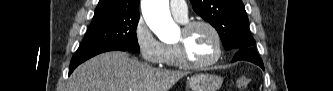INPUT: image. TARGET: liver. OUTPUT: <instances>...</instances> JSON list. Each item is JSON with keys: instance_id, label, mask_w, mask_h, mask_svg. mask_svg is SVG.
<instances>
[{"instance_id": "liver-1", "label": "liver", "mask_w": 333, "mask_h": 91, "mask_svg": "<svg viewBox=\"0 0 333 91\" xmlns=\"http://www.w3.org/2000/svg\"><path fill=\"white\" fill-rule=\"evenodd\" d=\"M185 72L154 68L126 52L100 54L78 66L68 91H169Z\"/></svg>"}]
</instances>
